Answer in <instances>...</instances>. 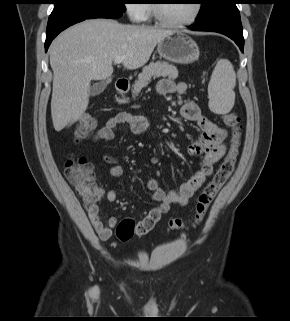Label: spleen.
<instances>
[{"instance_id":"1","label":"spleen","mask_w":290,"mask_h":321,"mask_svg":"<svg viewBox=\"0 0 290 321\" xmlns=\"http://www.w3.org/2000/svg\"><path fill=\"white\" fill-rule=\"evenodd\" d=\"M236 74L231 62L221 59L214 68L208 85L209 108L216 114L231 111L235 102Z\"/></svg>"}]
</instances>
